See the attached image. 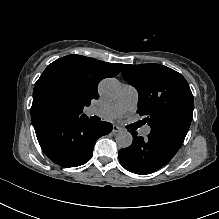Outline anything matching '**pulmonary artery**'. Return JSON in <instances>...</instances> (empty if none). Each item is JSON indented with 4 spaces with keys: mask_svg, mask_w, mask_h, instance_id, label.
<instances>
[{
    "mask_svg": "<svg viewBox=\"0 0 219 219\" xmlns=\"http://www.w3.org/2000/svg\"><path fill=\"white\" fill-rule=\"evenodd\" d=\"M138 102V92L132 85L125 84L122 89V93L118 100L111 106L102 109L89 108L87 110L88 114L96 115L100 117L103 121H112L124 113L133 110ZM144 134L150 132V127L145 126L142 129Z\"/></svg>",
    "mask_w": 219,
    "mask_h": 219,
    "instance_id": "1",
    "label": "pulmonary artery"
}]
</instances>
